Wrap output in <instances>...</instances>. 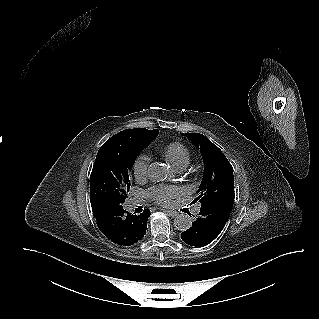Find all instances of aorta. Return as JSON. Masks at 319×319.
Returning <instances> with one entry per match:
<instances>
[{"label": "aorta", "mask_w": 319, "mask_h": 319, "mask_svg": "<svg viewBox=\"0 0 319 319\" xmlns=\"http://www.w3.org/2000/svg\"><path fill=\"white\" fill-rule=\"evenodd\" d=\"M169 175L167 167L159 162L150 164L148 168V176L154 182H162ZM192 225L191 218L187 214H179L174 219V226L181 231L189 229Z\"/></svg>", "instance_id": "1"}]
</instances>
